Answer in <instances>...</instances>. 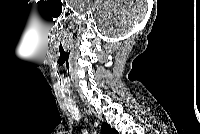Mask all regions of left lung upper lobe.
I'll return each instance as SVG.
<instances>
[{
	"label": "left lung upper lobe",
	"instance_id": "left-lung-upper-lobe-1",
	"mask_svg": "<svg viewBox=\"0 0 200 134\" xmlns=\"http://www.w3.org/2000/svg\"><path fill=\"white\" fill-rule=\"evenodd\" d=\"M101 132L103 134H118L115 129H112L108 124L104 123L101 126Z\"/></svg>",
	"mask_w": 200,
	"mask_h": 134
}]
</instances>
